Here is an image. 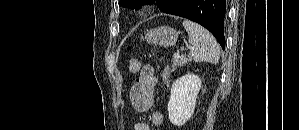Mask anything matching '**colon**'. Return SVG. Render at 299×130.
Returning a JSON list of instances; mask_svg holds the SVG:
<instances>
[{
	"label": "colon",
	"instance_id": "5ec220e1",
	"mask_svg": "<svg viewBox=\"0 0 299 130\" xmlns=\"http://www.w3.org/2000/svg\"><path fill=\"white\" fill-rule=\"evenodd\" d=\"M141 69V63L138 59H132L129 64V70L132 74L139 73Z\"/></svg>",
	"mask_w": 299,
	"mask_h": 130
}]
</instances>
